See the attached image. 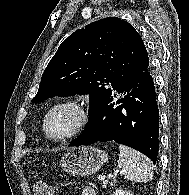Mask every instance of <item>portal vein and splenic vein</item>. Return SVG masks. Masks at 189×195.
<instances>
[{"label": "portal vein and splenic vein", "mask_w": 189, "mask_h": 195, "mask_svg": "<svg viewBox=\"0 0 189 195\" xmlns=\"http://www.w3.org/2000/svg\"><path fill=\"white\" fill-rule=\"evenodd\" d=\"M121 174H122V172H121ZM98 180L103 181V183L106 184V181H105V177L104 176H99L98 177Z\"/></svg>", "instance_id": "1"}]
</instances>
